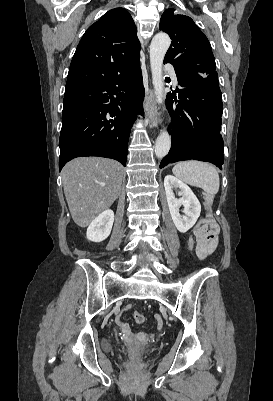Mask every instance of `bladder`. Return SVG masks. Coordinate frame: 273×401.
Returning a JSON list of instances; mask_svg holds the SVG:
<instances>
[{
	"mask_svg": "<svg viewBox=\"0 0 273 401\" xmlns=\"http://www.w3.org/2000/svg\"><path fill=\"white\" fill-rule=\"evenodd\" d=\"M103 346H104L105 350L109 351V352L115 351L117 349V343L111 339H105ZM147 352L148 351H144L141 354H146Z\"/></svg>",
	"mask_w": 273,
	"mask_h": 401,
	"instance_id": "obj_1",
	"label": "bladder"
}]
</instances>
